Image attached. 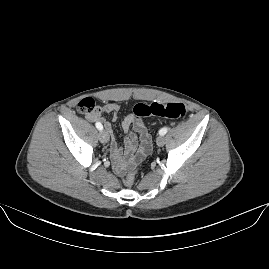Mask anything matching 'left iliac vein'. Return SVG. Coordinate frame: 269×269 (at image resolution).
Here are the masks:
<instances>
[{"mask_svg": "<svg viewBox=\"0 0 269 269\" xmlns=\"http://www.w3.org/2000/svg\"><path fill=\"white\" fill-rule=\"evenodd\" d=\"M156 142H157V145H158V146H163L164 143H165V138H164V136H163V135L158 136Z\"/></svg>", "mask_w": 269, "mask_h": 269, "instance_id": "left-iliac-vein-1", "label": "left iliac vein"}]
</instances>
